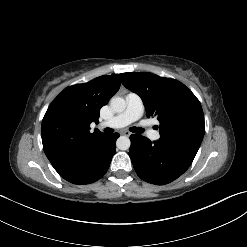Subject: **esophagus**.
<instances>
[{"label":"esophagus","mask_w":247,"mask_h":247,"mask_svg":"<svg viewBox=\"0 0 247 247\" xmlns=\"http://www.w3.org/2000/svg\"><path fill=\"white\" fill-rule=\"evenodd\" d=\"M121 134L125 135V136H130L131 135V133L129 131H122Z\"/></svg>","instance_id":"34e87169"}]
</instances>
